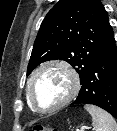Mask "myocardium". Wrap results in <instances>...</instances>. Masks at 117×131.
Segmentation results:
<instances>
[{
  "label": "myocardium",
  "instance_id": "myocardium-1",
  "mask_svg": "<svg viewBox=\"0 0 117 131\" xmlns=\"http://www.w3.org/2000/svg\"><path fill=\"white\" fill-rule=\"evenodd\" d=\"M50 68H59V69L63 70L68 75V77L70 79V90H69V93L67 94V96L60 103H58L57 105H55L52 108L42 109L38 106V104L36 103V101L34 99L32 88H33V83H34L36 77L42 71H44L46 69H50ZM79 89H80V78L74 68H72L69 64H67L66 62H63V61H49V62L41 64L32 73V75L28 81L26 91H27V97H28L29 103H30L31 107L33 108V110L37 113H40V114H49V113H53V112L60 110L61 108L66 106L68 103H70L75 98L77 93L79 92Z\"/></svg>",
  "mask_w": 117,
  "mask_h": 131
}]
</instances>
